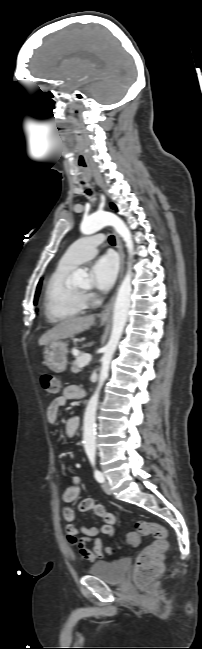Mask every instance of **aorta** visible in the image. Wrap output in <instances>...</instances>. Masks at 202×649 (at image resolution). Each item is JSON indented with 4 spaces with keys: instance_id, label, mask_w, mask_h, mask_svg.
Listing matches in <instances>:
<instances>
[{
    "instance_id": "762f6f07",
    "label": "aorta",
    "mask_w": 202,
    "mask_h": 649,
    "mask_svg": "<svg viewBox=\"0 0 202 649\" xmlns=\"http://www.w3.org/2000/svg\"><path fill=\"white\" fill-rule=\"evenodd\" d=\"M107 225L113 226L116 232L123 238L128 252L132 256L134 245L131 232L124 221L117 215L109 212H96L82 221L80 230L84 235H91ZM86 277L87 273L82 269H78L73 273V281L76 283L81 282ZM131 278L132 276L130 272H128L118 289L113 309L112 330L101 358L98 385L94 394L91 396L84 413L83 443L85 452L89 456L94 455L96 452L95 417L99 394L104 382L108 378L110 364L121 339L128 317L132 292Z\"/></svg>"
}]
</instances>
